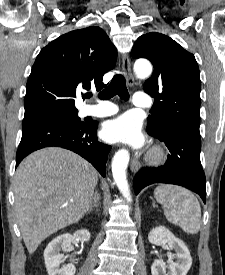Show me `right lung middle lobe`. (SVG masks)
Returning <instances> with one entry per match:
<instances>
[{"instance_id":"obj_1","label":"right lung middle lobe","mask_w":225,"mask_h":275,"mask_svg":"<svg viewBox=\"0 0 225 275\" xmlns=\"http://www.w3.org/2000/svg\"><path fill=\"white\" fill-rule=\"evenodd\" d=\"M77 112H78L77 110H56V111L42 113V114L35 115V116L55 117L62 121H65L69 124L81 126V125H83V122L80 121V119L77 115ZM31 117H33V116H31ZM25 118H27V117H25Z\"/></svg>"}]
</instances>
